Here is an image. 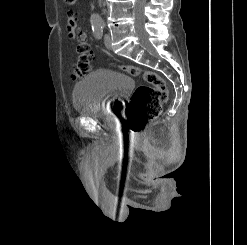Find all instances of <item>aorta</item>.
Segmentation results:
<instances>
[{"instance_id": "762f6f07", "label": "aorta", "mask_w": 247, "mask_h": 245, "mask_svg": "<svg viewBox=\"0 0 247 245\" xmlns=\"http://www.w3.org/2000/svg\"><path fill=\"white\" fill-rule=\"evenodd\" d=\"M90 22L92 25H102L103 20L97 13H92L90 17Z\"/></svg>"}]
</instances>
